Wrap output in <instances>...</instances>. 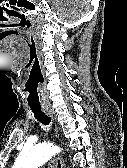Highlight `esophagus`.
I'll use <instances>...</instances> for the list:
<instances>
[{
    "label": "esophagus",
    "instance_id": "obj_1",
    "mask_svg": "<svg viewBox=\"0 0 127 168\" xmlns=\"http://www.w3.org/2000/svg\"><path fill=\"white\" fill-rule=\"evenodd\" d=\"M43 111L53 119V112L50 107H43ZM56 168H65L64 162L60 156L56 157Z\"/></svg>",
    "mask_w": 127,
    "mask_h": 168
}]
</instances>
